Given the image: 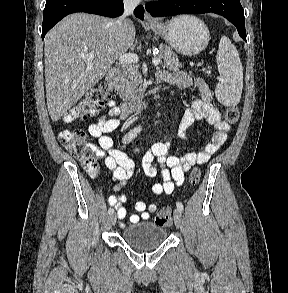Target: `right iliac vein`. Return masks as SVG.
Instances as JSON below:
<instances>
[{
	"instance_id": "obj_1",
	"label": "right iliac vein",
	"mask_w": 288,
	"mask_h": 293,
	"mask_svg": "<svg viewBox=\"0 0 288 293\" xmlns=\"http://www.w3.org/2000/svg\"><path fill=\"white\" fill-rule=\"evenodd\" d=\"M110 222L112 225H115V223H116V215L115 214L110 215Z\"/></svg>"
}]
</instances>
